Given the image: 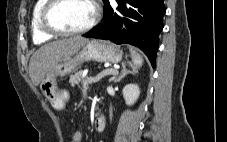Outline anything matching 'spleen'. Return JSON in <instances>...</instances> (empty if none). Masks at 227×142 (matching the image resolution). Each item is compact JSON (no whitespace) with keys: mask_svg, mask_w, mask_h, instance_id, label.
Instances as JSON below:
<instances>
[{"mask_svg":"<svg viewBox=\"0 0 227 142\" xmlns=\"http://www.w3.org/2000/svg\"><path fill=\"white\" fill-rule=\"evenodd\" d=\"M129 51L132 59V67L135 71H137L143 64V58L133 47H129Z\"/></svg>","mask_w":227,"mask_h":142,"instance_id":"3e777b00","label":"spleen"}]
</instances>
